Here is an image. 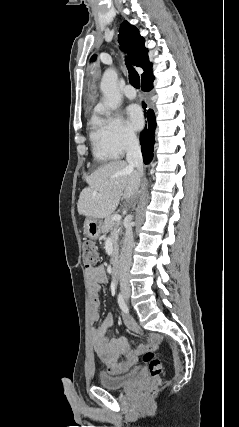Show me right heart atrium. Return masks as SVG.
<instances>
[{
  "label": "right heart atrium",
  "mask_w": 239,
  "mask_h": 427,
  "mask_svg": "<svg viewBox=\"0 0 239 427\" xmlns=\"http://www.w3.org/2000/svg\"><path fill=\"white\" fill-rule=\"evenodd\" d=\"M100 123L108 145L117 156L124 155L137 145L136 135L119 115L103 112Z\"/></svg>",
  "instance_id": "1"
}]
</instances>
